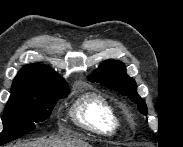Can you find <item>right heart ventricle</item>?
Listing matches in <instances>:
<instances>
[{"label": "right heart ventricle", "instance_id": "e07e8e85", "mask_svg": "<svg viewBox=\"0 0 183 147\" xmlns=\"http://www.w3.org/2000/svg\"><path fill=\"white\" fill-rule=\"evenodd\" d=\"M73 120L91 132L112 135L121 126L120 117L105 97L90 93L78 99L71 111Z\"/></svg>", "mask_w": 183, "mask_h": 147}]
</instances>
